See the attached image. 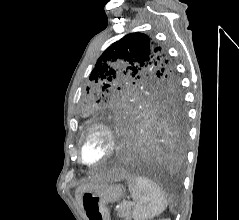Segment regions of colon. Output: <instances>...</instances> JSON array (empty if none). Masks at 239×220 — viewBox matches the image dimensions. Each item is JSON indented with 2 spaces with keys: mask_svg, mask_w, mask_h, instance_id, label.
Segmentation results:
<instances>
[{
  "mask_svg": "<svg viewBox=\"0 0 239 220\" xmlns=\"http://www.w3.org/2000/svg\"><path fill=\"white\" fill-rule=\"evenodd\" d=\"M90 219L91 220H102L100 217H97V216H91Z\"/></svg>",
  "mask_w": 239,
  "mask_h": 220,
  "instance_id": "colon-1",
  "label": "colon"
}]
</instances>
